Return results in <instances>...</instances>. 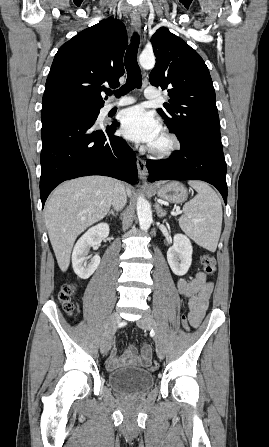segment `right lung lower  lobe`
<instances>
[{
	"label": "right lung lower lobe",
	"instance_id": "obj_1",
	"mask_svg": "<svg viewBox=\"0 0 269 447\" xmlns=\"http://www.w3.org/2000/svg\"><path fill=\"white\" fill-rule=\"evenodd\" d=\"M76 105L41 112L42 208L50 192L65 180L105 175L132 185L137 182L136 154L121 137L113 135L119 123L93 130L99 112L80 113Z\"/></svg>",
	"mask_w": 269,
	"mask_h": 447
}]
</instances>
